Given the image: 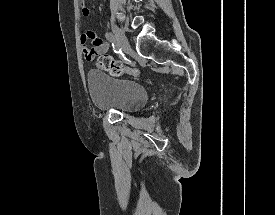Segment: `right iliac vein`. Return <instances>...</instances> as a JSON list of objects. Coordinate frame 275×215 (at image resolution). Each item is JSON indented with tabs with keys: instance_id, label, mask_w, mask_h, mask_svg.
<instances>
[{
	"instance_id": "1",
	"label": "right iliac vein",
	"mask_w": 275,
	"mask_h": 215,
	"mask_svg": "<svg viewBox=\"0 0 275 215\" xmlns=\"http://www.w3.org/2000/svg\"><path fill=\"white\" fill-rule=\"evenodd\" d=\"M112 31H113V33L116 37V41H117L118 45L121 47V49L124 52L129 53L131 51V47L129 45V42H128L124 32L115 25H112Z\"/></svg>"
}]
</instances>
